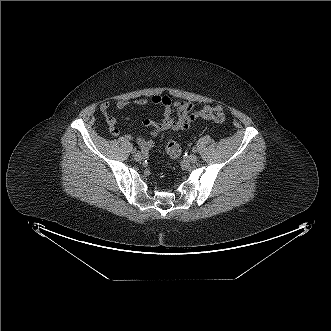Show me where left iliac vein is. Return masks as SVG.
Instances as JSON below:
<instances>
[{
	"mask_svg": "<svg viewBox=\"0 0 331 331\" xmlns=\"http://www.w3.org/2000/svg\"><path fill=\"white\" fill-rule=\"evenodd\" d=\"M187 160L191 163H195L197 161V156L195 154H190L188 157H187Z\"/></svg>",
	"mask_w": 331,
	"mask_h": 331,
	"instance_id": "4c4485c4",
	"label": "left iliac vein"
}]
</instances>
